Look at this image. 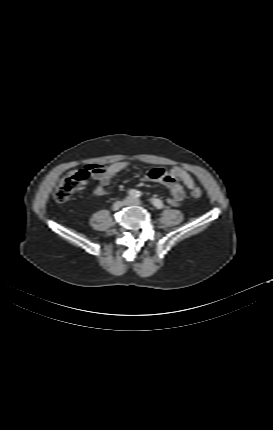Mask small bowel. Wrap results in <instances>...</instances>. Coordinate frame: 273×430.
<instances>
[{"label":"small bowel","instance_id":"c3829d8e","mask_svg":"<svg viewBox=\"0 0 273 430\" xmlns=\"http://www.w3.org/2000/svg\"><path fill=\"white\" fill-rule=\"evenodd\" d=\"M132 166L129 160L114 162L110 165L95 163L84 166V173L92 175L98 181L94 189V194L98 197L106 195L109 191L107 186L111 179L119 172ZM144 180H151L164 184L170 190L167 203L174 205L181 202L185 197L184 187L188 189L196 188L192 176L181 167H173L169 170L164 168H153L145 176Z\"/></svg>","mask_w":273,"mask_h":430}]
</instances>
